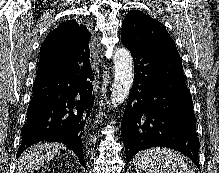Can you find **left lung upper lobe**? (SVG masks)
<instances>
[{
  "instance_id": "5c2ea615",
  "label": "left lung upper lobe",
  "mask_w": 219,
  "mask_h": 173,
  "mask_svg": "<svg viewBox=\"0 0 219 173\" xmlns=\"http://www.w3.org/2000/svg\"><path fill=\"white\" fill-rule=\"evenodd\" d=\"M121 41L130 47L144 46L161 51H177L163 24L138 10L130 11L125 17Z\"/></svg>"
}]
</instances>
